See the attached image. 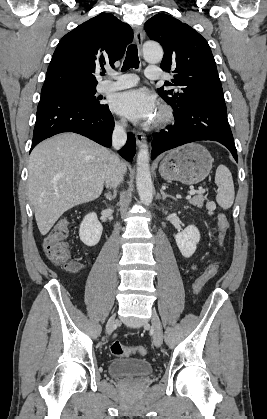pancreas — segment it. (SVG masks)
Listing matches in <instances>:
<instances>
[{
	"label": "pancreas",
	"mask_w": 267,
	"mask_h": 419,
	"mask_svg": "<svg viewBox=\"0 0 267 419\" xmlns=\"http://www.w3.org/2000/svg\"><path fill=\"white\" fill-rule=\"evenodd\" d=\"M204 199H205L204 196L199 194V195H196L193 198H191L189 200V203L198 207V208H202L203 204H204Z\"/></svg>",
	"instance_id": "pancreas-1"
}]
</instances>
